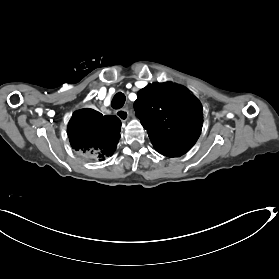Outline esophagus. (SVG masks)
I'll return each mask as SVG.
<instances>
[{
	"label": "esophagus",
	"instance_id": "1",
	"mask_svg": "<svg viewBox=\"0 0 279 279\" xmlns=\"http://www.w3.org/2000/svg\"><path fill=\"white\" fill-rule=\"evenodd\" d=\"M115 115L122 121L125 122L129 118V111L127 108L118 109L115 111Z\"/></svg>",
	"mask_w": 279,
	"mask_h": 279
}]
</instances>
